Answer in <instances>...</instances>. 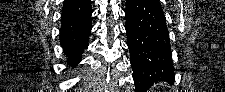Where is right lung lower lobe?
<instances>
[{
    "instance_id": "1",
    "label": "right lung lower lobe",
    "mask_w": 225,
    "mask_h": 92,
    "mask_svg": "<svg viewBox=\"0 0 225 92\" xmlns=\"http://www.w3.org/2000/svg\"><path fill=\"white\" fill-rule=\"evenodd\" d=\"M91 13L92 11L78 19L61 22L60 44L64 49L68 64L72 67L79 63L82 52L88 46L92 28Z\"/></svg>"
}]
</instances>
